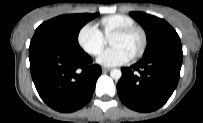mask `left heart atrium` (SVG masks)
<instances>
[{"mask_svg": "<svg viewBox=\"0 0 203 123\" xmlns=\"http://www.w3.org/2000/svg\"><path fill=\"white\" fill-rule=\"evenodd\" d=\"M132 55L119 46L106 49L98 57V62L106 66L122 65L130 61Z\"/></svg>", "mask_w": 203, "mask_h": 123, "instance_id": "1", "label": "left heart atrium"}]
</instances>
